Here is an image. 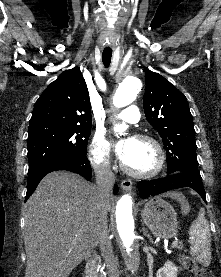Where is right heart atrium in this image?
Segmentation results:
<instances>
[{
    "label": "right heart atrium",
    "instance_id": "1",
    "mask_svg": "<svg viewBox=\"0 0 221 277\" xmlns=\"http://www.w3.org/2000/svg\"><path fill=\"white\" fill-rule=\"evenodd\" d=\"M89 158L93 167L102 172H108L111 169V157L109 143L105 136L96 133L90 143Z\"/></svg>",
    "mask_w": 221,
    "mask_h": 277
}]
</instances>
